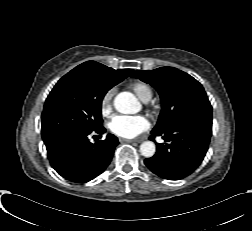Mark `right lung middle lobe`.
<instances>
[{
  "instance_id": "right-lung-middle-lobe-1",
  "label": "right lung middle lobe",
  "mask_w": 252,
  "mask_h": 231,
  "mask_svg": "<svg viewBox=\"0 0 252 231\" xmlns=\"http://www.w3.org/2000/svg\"><path fill=\"white\" fill-rule=\"evenodd\" d=\"M118 83L95 68L76 67L63 76L45 102L41 117L44 143L65 134H86L102 127L103 97Z\"/></svg>"
}]
</instances>
